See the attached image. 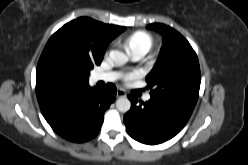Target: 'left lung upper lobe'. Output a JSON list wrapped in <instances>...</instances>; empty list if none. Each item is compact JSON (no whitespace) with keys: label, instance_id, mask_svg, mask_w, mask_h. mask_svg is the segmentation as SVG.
Segmentation results:
<instances>
[{"label":"left lung upper lobe","instance_id":"obj_1","mask_svg":"<svg viewBox=\"0 0 248 165\" xmlns=\"http://www.w3.org/2000/svg\"><path fill=\"white\" fill-rule=\"evenodd\" d=\"M147 28L164 34L163 46L152 71L146 77L152 98L195 107L200 88V67L189 42L175 29L160 23Z\"/></svg>","mask_w":248,"mask_h":165}]
</instances>
